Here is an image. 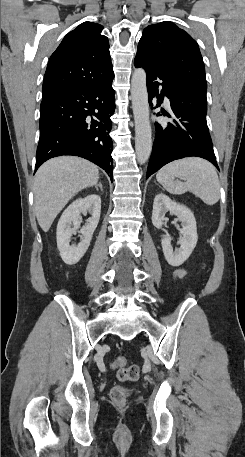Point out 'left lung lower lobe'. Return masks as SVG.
<instances>
[{"label":"left lung lower lobe","instance_id":"left-lung-lower-lobe-1","mask_svg":"<svg viewBox=\"0 0 245 457\" xmlns=\"http://www.w3.org/2000/svg\"><path fill=\"white\" fill-rule=\"evenodd\" d=\"M134 65L143 67L147 73L150 106H153V97H157L156 107H159L166 96L172 113H161L173 118L166 125L155 123L156 136L146 178L171 161L192 156L204 158L219 169L206 122L207 104L184 96V85L160 64L136 56ZM161 113L156 115L160 116Z\"/></svg>","mask_w":245,"mask_h":457}]
</instances>
